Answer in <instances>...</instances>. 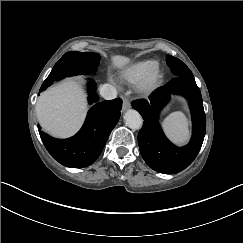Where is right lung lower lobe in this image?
Returning <instances> with one entry per match:
<instances>
[{
    "instance_id": "right-lung-lower-lobe-1",
    "label": "right lung lower lobe",
    "mask_w": 243,
    "mask_h": 243,
    "mask_svg": "<svg viewBox=\"0 0 243 243\" xmlns=\"http://www.w3.org/2000/svg\"><path fill=\"white\" fill-rule=\"evenodd\" d=\"M95 83L90 79L89 110L81 130L68 139H55L40 130L39 134L50 155L59 163L70 168H83L93 164L101 154L110 132L117 124L122 100L98 102Z\"/></svg>"
}]
</instances>
